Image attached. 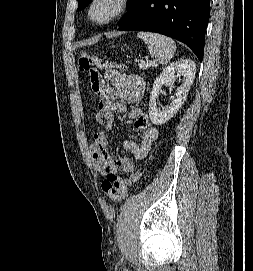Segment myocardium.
I'll use <instances>...</instances> for the list:
<instances>
[{
	"instance_id": "obj_1",
	"label": "myocardium",
	"mask_w": 253,
	"mask_h": 271,
	"mask_svg": "<svg viewBox=\"0 0 253 271\" xmlns=\"http://www.w3.org/2000/svg\"><path fill=\"white\" fill-rule=\"evenodd\" d=\"M98 1L99 0H91L88 7V17L93 23L99 26L107 25L114 21L127 10L130 4V0H116L115 10L107 18L103 20H97L93 17L92 11Z\"/></svg>"
}]
</instances>
